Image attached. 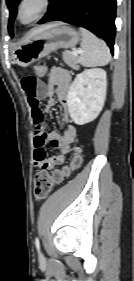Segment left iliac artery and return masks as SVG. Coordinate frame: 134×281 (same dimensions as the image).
<instances>
[{
	"mask_svg": "<svg viewBox=\"0 0 134 281\" xmlns=\"http://www.w3.org/2000/svg\"><path fill=\"white\" fill-rule=\"evenodd\" d=\"M35 244H36L37 249L39 250V239L38 238H36Z\"/></svg>",
	"mask_w": 134,
	"mask_h": 281,
	"instance_id": "1",
	"label": "left iliac artery"
}]
</instances>
